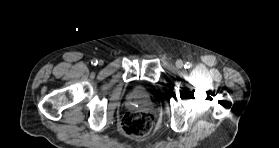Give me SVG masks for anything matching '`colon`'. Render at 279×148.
<instances>
[{
	"mask_svg": "<svg viewBox=\"0 0 279 148\" xmlns=\"http://www.w3.org/2000/svg\"><path fill=\"white\" fill-rule=\"evenodd\" d=\"M156 126L157 122L154 115L141 110L125 112L119 122L122 133L135 138L151 134Z\"/></svg>",
	"mask_w": 279,
	"mask_h": 148,
	"instance_id": "colon-1",
	"label": "colon"
}]
</instances>
